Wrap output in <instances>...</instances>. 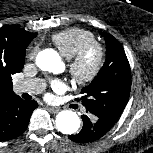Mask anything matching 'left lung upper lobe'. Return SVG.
Instances as JSON below:
<instances>
[{
    "instance_id": "left-lung-upper-lobe-1",
    "label": "left lung upper lobe",
    "mask_w": 153,
    "mask_h": 153,
    "mask_svg": "<svg viewBox=\"0 0 153 153\" xmlns=\"http://www.w3.org/2000/svg\"><path fill=\"white\" fill-rule=\"evenodd\" d=\"M100 34L106 40L105 64L92 83L82 89L86 95L81 100L87 112L112 127L128 102L131 70L119 41L111 34Z\"/></svg>"
}]
</instances>
